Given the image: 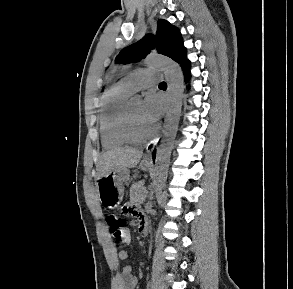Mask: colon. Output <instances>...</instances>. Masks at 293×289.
<instances>
[{"instance_id": "obj_1", "label": "colon", "mask_w": 293, "mask_h": 289, "mask_svg": "<svg viewBox=\"0 0 293 289\" xmlns=\"http://www.w3.org/2000/svg\"><path fill=\"white\" fill-rule=\"evenodd\" d=\"M121 212L123 215L129 216V215H135L139 213L134 207L131 205L125 204L123 205ZM105 221L108 225V228L111 232V234L119 239H123L126 232V222L123 218L118 216L115 213H107L105 216Z\"/></svg>"}]
</instances>
